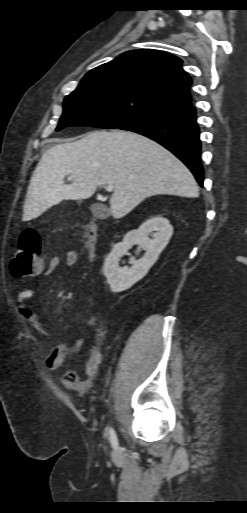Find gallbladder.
<instances>
[{"mask_svg": "<svg viewBox=\"0 0 247 513\" xmlns=\"http://www.w3.org/2000/svg\"><path fill=\"white\" fill-rule=\"evenodd\" d=\"M91 211L97 218H104L109 214V210L103 204L99 203L93 204L91 206Z\"/></svg>", "mask_w": 247, "mask_h": 513, "instance_id": "gallbladder-1", "label": "gallbladder"}]
</instances>
